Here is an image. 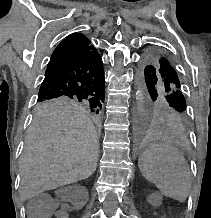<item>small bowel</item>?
Segmentation results:
<instances>
[{"instance_id": "1", "label": "small bowel", "mask_w": 211, "mask_h": 218, "mask_svg": "<svg viewBox=\"0 0 211 218\" xmlns=\"http://www.w3.org/2000/svg\"><path fill=\"white\" fill-rule=\"evenodd\" d=\"M56 218H68V214L65 209H59L55 213Z\"/></svg>"}]
</instances>
